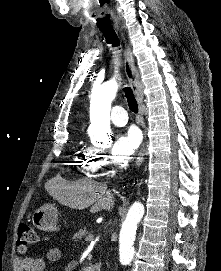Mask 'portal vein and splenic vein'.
<instances>
[{"instance_id":"portal-vein-and-splenic-vein-1","label":"portal vein and splenic vein","mask_w":221,"mask_h":271,"mask_svg":"<svg viewBox=\"0 0 221 271\" xmlns=\"http://www.w3.org/2000/svg\"><path fill=\"white\" fill-rule=\"evenodd\" d=\"M95 235L92 233V234H86L85 235V241L86 242H91L92 241V238L94 237Z\"/></svg>"}]
</instances>
